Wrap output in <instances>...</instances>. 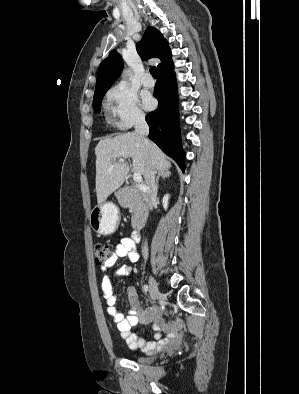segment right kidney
Instances as JSON below:
<instances>
[{
  "label": "right kidney",
  "mask_w": 299,
  "mask_h": 394,
  "mask_svg": "<svg viewBox=\"0 0 299 394\" xmlns=\"http://www.w3.org/2000/svg\"><path fill=\"white\" fill-rule=\"evenodd\" d=\"M168 200H169V194L164 195V197L162 199V204H163L164 210H167V208H168Z\"/></svg>",
  "instance_id": "obj_1"
}]
</instances>
